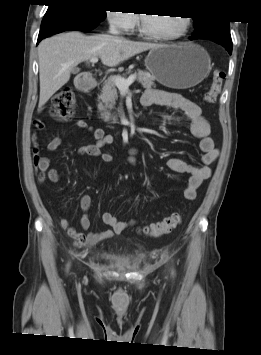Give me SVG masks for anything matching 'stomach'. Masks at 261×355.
<instances>
[{
	"mask_svg": "<svg viewBox=\"0 0 261 355\" xmlns=\"http://www.w3.org/2000/svg\"><path fill=\"white\" fill-rule=\"evenodd\" d=\"M145 65L164 86L186 89L207 77L211 69V59L200 45L184 42L150 49Z\"/></svg>",
	"mask_w": 261,
	"mask_h": 355,
	"instance_id": "0dacf381",
	"label": "stomach"
}]
</instances>
